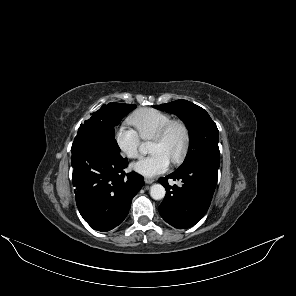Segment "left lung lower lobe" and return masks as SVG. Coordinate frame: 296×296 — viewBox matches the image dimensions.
Returning a JSON list of instances; mask_svg holds the SVG:
<instances>
[{"label": "left lung lower lobe", "mask_w": 296, "mask_h": 296, "mask_svg": "<svg viewBox=\"0 0 296 296\" xmlns=\"http://www.w3.org/2000/svg\"><path fill=\"white\" fill-rule=\"evenodd\" d=\"M219 164L220 156L201 158L158 180L167 191L158 208L167 223L185 229L200 221L210 206ZM168 179L180 180L183 184L170 186Z\"/></svg>", "instance_id": "obj_1"}]
</instances>
